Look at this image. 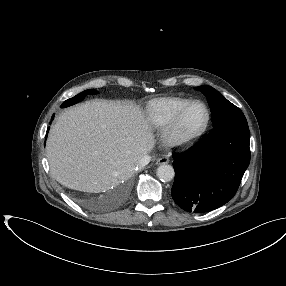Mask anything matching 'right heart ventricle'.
I'll return each instance as SVG.
<instances>
[{"label":"right heart ventricle","instance_id":"1","mask_svg":"<svg viewBox=\"0 0 286 286\" xmlns=\"http://www.w3.org/2000/svg\"><path fill=\"white\" fill-rule=\"evenodd\" d=\"M183 97H163L150 101L146 107V122L155 131L164 130L191 102Z\"/></svg>","mask_w":286,"mask_h":286}]
</instances>
